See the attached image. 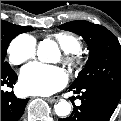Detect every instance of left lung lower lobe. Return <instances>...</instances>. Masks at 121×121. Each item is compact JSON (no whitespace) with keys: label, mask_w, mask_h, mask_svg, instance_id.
<instances>
[{"label":"left lung lower lobe","mask_w":121,"mask_h":121,"mask_svg":"<svg viewBox=\"0 0 121 121\" xmlns=\"http://www.w3.org/2000/svg\"><path fill=\"white\" fill-rule=\"evenodd\" d=\"M76 94L82 93L80 106H74L72 114L58 121H108L116 109L119 97L99 86L69 87Z\"/></svg>","instance_id":"obj_1"}]
</instances>
